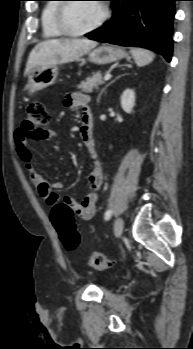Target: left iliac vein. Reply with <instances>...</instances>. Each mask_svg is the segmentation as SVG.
I'll return each instance as SVG.
<instances>
[{
  "instance_id": "1",
  "label": "left iliac vein",
  "mask_w": 193,
  "mask_h": 349,
  "mask_svg": "<svg viewBox=\"0 0 193 349\" xmlns=\"http://www.w3.org/2000/svg\"><path fill=\"white\" fill-rule=\"evenodd\" d=\"M123 228H124V222L122 220V218H117L115 223H114V235L119 238L122 235L123 232Z\"/></svg>"
}]
</instances>
